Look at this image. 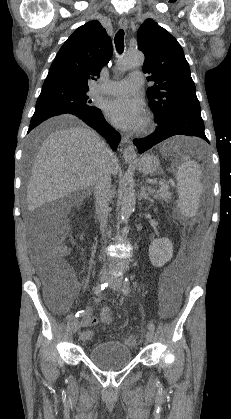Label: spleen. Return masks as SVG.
<instances>
[{
    "instance_id": "spleen-1",
    "label": "spleen",
    "mask_w": 231,
    "mask_h": 419,
    "mask_svg": "<svg viewBox=\"0 0 231 419\" xmlns=\"http://www.w3.org/2000/svg\"><path fill=\"white\" fill-rule=\"evenodd\" d=\"M201 176L197 162L191 160L189 156H184L182 163L177 168L176 179L178 181V207L180 212L188 218L195 216L198 211L203 189Z\"/></svg>"
}]
</instances>
